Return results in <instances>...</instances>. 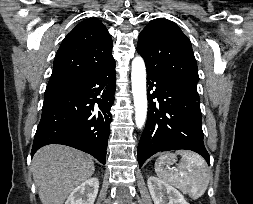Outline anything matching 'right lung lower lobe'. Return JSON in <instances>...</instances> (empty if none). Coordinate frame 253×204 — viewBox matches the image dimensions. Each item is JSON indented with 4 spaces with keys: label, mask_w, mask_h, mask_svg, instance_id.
Wrapping results in <instances>:
<instances>
[{
    "label": "right lung lower lobe",
    "mask_w": 253,
    "mask_h": 204,
    "mask_svg": "<svg viewBox=\"0 0 253 204\" xmlns=\"http://www.w3.org/2000/svg\"><path fill=\"white\" fill-rule=\"evenodd\" d=\"M115 76L114 62L46 89L31 156L42 146L63 144L105 164Z\"/></svg>",
    "instance_id": "1"
}]
</instances>
